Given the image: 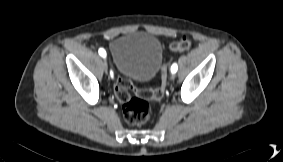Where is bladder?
<instances>
[{
	"mask_svg": "<svg viewBox=\"0 0 283 162\" xmlns=\"http://www.w3.org/2000/svg\"><path fill=\"white\" fill-rule=\"evenodd\" d=\"M110 52L116 70L130 80L149 82L163 62V49L157 37L146 32H132L115 38Z\"/></svg>",
	"mask_w": 283,
	"mask_h": 162,
	"instance_id": "1",
	"label": "bladder"
}]
</instances>
